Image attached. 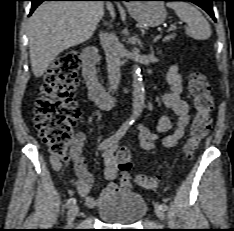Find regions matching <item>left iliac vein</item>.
<instances>
[{
  "instance_id": "4c4485c4",
  "label": "left iliac vein",
  "mask_w": 234,
  "mask_h": 231,
  "mask_svg": "<svg viewBox=\"0 0 234 231\" xmlns=\"http://www.w3.org/2000/svg\"><path fill=\"white\" fill-rule=\"evenodd\" d=\"M154 208H155V213H156L157 217L161 221H163L165 218V213H164V210L162 209L161 205L159 203H156Z\"/></svg>"
}]
</instances>
